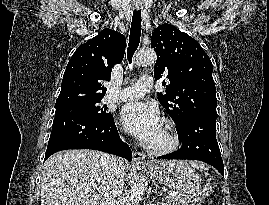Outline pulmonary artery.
Returning a JSON list of instances; mask_svg holds the SVG:
<instances>
[{"mask_svg": "<svg viewBox=\"0 0 269 205\" xmlns=\"http://www.w3.org/2000/svg\"><path fill=\"white\" fill-rule=\"evenodd\" d=\"M152 85V78L142 77L132 86L123 89L111 90L105 100L107 102H121L139 99L152 88Z\"/></svg>", "mask_w": 269, "mask_h": 205, "instance_id": "e3ab8cb5", "label": "pulmonary artery"}]
</instances>
